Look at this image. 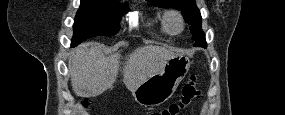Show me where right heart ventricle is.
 I'll return each mask as SVG.
<instances>
[{
    "instance_id": "1",
    "label": "right heart ventricle",
    "mask_w": 285,
    "mask_h": 115,
    "mask_svg": "<svg viewBox=\"0 0 285 115\" xmlns=\"http://www.w3.org/2000/svg\"><path fill=\"white\" fill-rule=\"evenodd\" d=\"M160 26H161V30L164 32V33H168L170 34V30L166 24V21H165V15H163L160 19Z\"/></svg>"
}]
</instances>
